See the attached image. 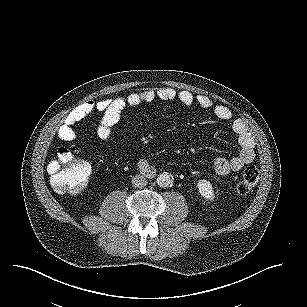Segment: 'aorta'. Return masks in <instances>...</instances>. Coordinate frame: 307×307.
<instances>
[{
    "instance_id": "1",
    "label": "aorta",
    "mask_w": 307,
    "mask_h": 307,
    "mask_svg": "<svg viewBox=\"0 0 307 307\" xmlns=\"http://www.w3.org/2000/svg\"><path fill=\"white\" fill-rule=\"evenodd\" d=\"M156 182L160 187L168 188L173 185L174 179L169 172H163L158 175Z\"/></svg>"
}]
</instances>
